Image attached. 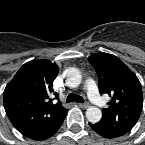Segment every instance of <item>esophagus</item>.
Listing matches in <instances>:
<instances>
[{
  "mask_svg": "<svg viewBox=\"0 0 145 145\" xmlns=\"http://www.w3.org/2000/svg\"><path fill=\"white\" fill-rule=\"evenodd\" d=\"M82 108H88L89 104L88 103H83V104H78Z\"/></svg>",
  "mask_w": 145,
  "mask_h": 145,
  "instance_id": "esophagus-1",
  "label": "esophagus"
}]
</instances>
